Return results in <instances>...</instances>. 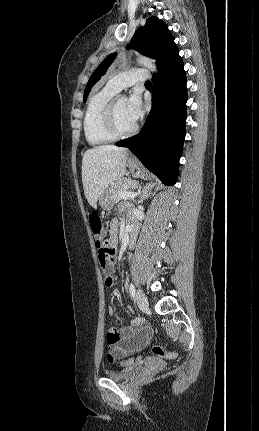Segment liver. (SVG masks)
<instances>
[{
  "instance_id": "6515ba94",
  "label": "liver",
  "mask_w": 259,
  "mask_h": 431,
  "mask_svg": "<svg viewBox=\"0 0 259 431\" xmlns=\"http://www.w3.org/2000/svg\"><path fill=\"white\" fill-rule=\"evenodd\" d=\"M128 155L126 148L114 145L97 146L84 153L82 183L85 197L93 208L109 185L123 177Z\"/></svg>"
}]
</instances>
